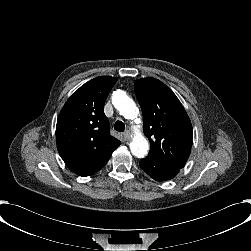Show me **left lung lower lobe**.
I'll return each instance as SVG.
<instances>
[{
    "mask_svg": "<svg viewBox=\"0 0 251 251\" xmlns=\"http://www.w3.org/2000/svg\"><path fill=\"white\" fill-rule=\"evenodd\" d=\"M140 167L156 181L170 180L180 171L179 168L164 164L149 156L140 160Z\"/></svg>",
    "mask_w": 251,
    "mask_h": 251,
    "instance_id": "0a47b994",
    "label": "left lung lower lobe"
}]
</instances>
